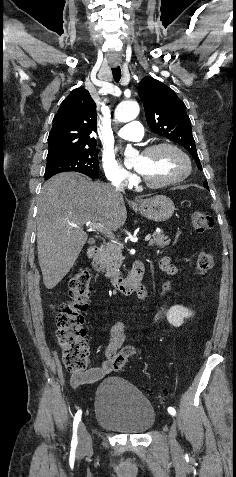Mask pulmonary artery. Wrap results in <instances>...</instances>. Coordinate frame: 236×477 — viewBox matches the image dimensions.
I'll return each mask as SVG.
<instances>
[{
    "label": "pulmonary artery",
    "mask_w": 236,
    "mask_h": 477,
    "mask_svg": "<svg viewBox=\"0 0 236 477\" xmlns=\"http://www.w3.org/2000/svg\"><path fill=\"white\" fill-rule=\"evenodd\" d=\"M117 136L126 140H141L143 137V127L140 122L131 121L118 129Z\"/></svg>",
    "instance_id": "1"
}]
</instances>
